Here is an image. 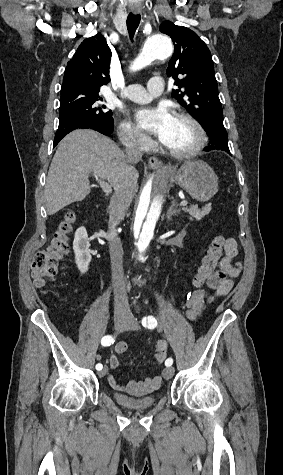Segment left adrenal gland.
Segmentation results:
<instances>
[{"instance_id":"a2214340","label":"left adrenal gland","mask_w":283,"mask_h":475,"mask_svg":"<svg viewBox=\"0 0 283 475\" xmlns=\"http://www.w3.org/2000/svg\"><path fill=\"white\" fill-rule=\"evenodd\" d=\"M176 204H177V202H175V200H173V202H171V206H170L169 210H167L166 218H167L168 222H171L172 216H177V214H180V212H181V210H176V208H175Z\"/></svg>"}]
</instances>
